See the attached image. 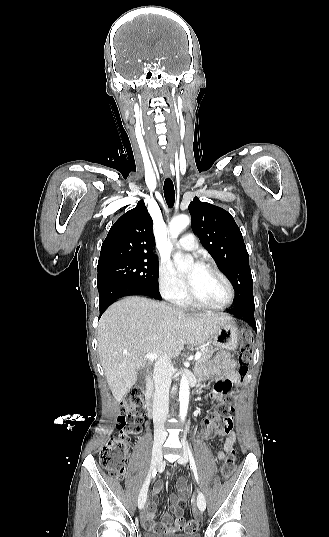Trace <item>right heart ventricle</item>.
I'll return each mask as SVG.
<instances>
[{"label": "right heart ventricle", "instance_id": "right-heart-ventricle-1", "mask_svg": "<svg viewBox=\"0 0 329 537\" xmlns=\"http://www.w3.org/2000/svg\"><path fill=\"white\" fill-rule=\"evenodd\" d=\"M179 305L181 306H188L190 304V301L188 300V298H185L183 299L182 301L180 302H177Z\"/></svg>", "mask_w": 329, "mask_h": 537}]
</instances>
